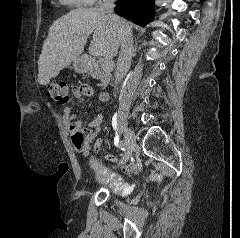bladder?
Listing matches in <instances>:
<instances>
[{
  "mask_svg": "<svg viewBox=\"0 0 240 238\" xmlns=\"http://www.w3.org/2000/svg\"><path fill=\"white\" fill-rule=\"evenodd\" d=\"M91 166L99 171V167L96 161L91 162ZM104 182L107 183L111 190L118 194H125L127 192V184L118 176L110 175L104 178Z\"/></svg>",
  "mask_w": 240,
  "mask_h": 238,
  "instance_id": "1",
  "label": "bladder"
}]
</instances>
